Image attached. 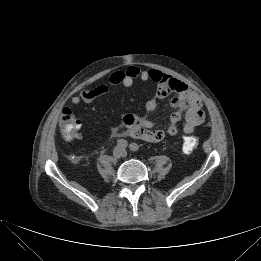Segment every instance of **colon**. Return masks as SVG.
I'll return each instance as SVG.
<instances>
[{
  "label": "colon",
  "instance_id": "colon-1",
  "mask_svg": "<svg viewBox=\"0 0 261 261\" xmlns=\"http://www.w3.org/2000/svg\"><path fill=\"white\" fill-rule=\"evenodd\" d=\"M79 120L73 115L70 108L65 107L62 110L59 125L63 137L66 140H71L74 138L76 131L79 128ZM198 145V139L191 134H184L182 136V149L185 153H190L196 149Z\"/></svg>",
  "mask_w": 261,
  "mask_h": 261
}]
</instances>
